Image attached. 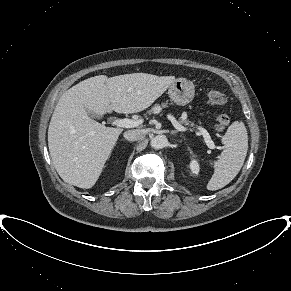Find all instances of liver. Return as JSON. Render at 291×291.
I'll return each instance as SVG.
<instances>
[{"label": "liver", "mask_w": 291, "mask_h": 291, "mask_svg": "<svg viewBox=\"0 0 291 291\" xmlns=\"http://www.w3.org/2000/svg\"><path fill=\"white\" fill-rule=\"evenodd\" d=\"M175 81L174 76L132 73L88 78L59 99L48 128L52 163L67 183L95 185L123 129L92 119L106 113H137L147 109Z\"/></svg>", "instance_id": "obj_1"}]
</instances>
